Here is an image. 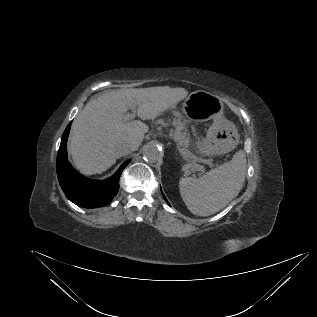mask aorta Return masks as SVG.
Here are the masks:
<instances>
[{"label": "aorta", "mask_w": 317, "mask_h": 317, "mask_svg": "<svg viewBox=\"0 0 317 317\" xmlns=\"http://www.w3.org/2000/svg\"><path fill=\"white\" fill-rule=\"evenodd\" d=\"M162 156V151L155 143H148L143 149V158L149 163L157 162Z\"/></svg>", "instance_id": "1"}]
</instances>
